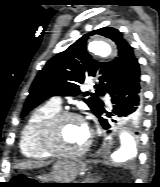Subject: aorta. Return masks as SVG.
Returning <instances> with one entry per match:
<instances>
[{"label": "aorta", "mask_w": 160, "mask_h": 187, "mask_svg": "<svg viewBox=\"0 0 160 187\" xmlns=\"http://www.w3.org/2000/svg\"><path fill=\"white\" fill-rule=\"evenodd\" d=\"M88 49L90 52L101 57H107L112 51L111 45L103 39L93 40L89 44ZM136 147L137 141L129 131L120 132L119 147L111 153V161L122 162L134 157L136 154Z\"/></svg>", "instance_id": "762f6f07"}]
</instances>
